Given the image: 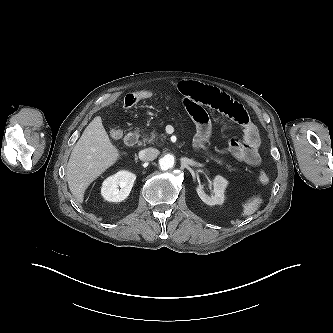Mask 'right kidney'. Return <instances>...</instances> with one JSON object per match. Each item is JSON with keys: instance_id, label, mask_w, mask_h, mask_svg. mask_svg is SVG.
I'll return each mask as SVG.
<instances>
[{"instance_id": "obj_1", "label": "right kidney", "mask_w": 333, "mask_h": 333, "mask_svg": "<svg viewBox=\"0 0 333 333\" xmlns=\"http://www.w3.org/2000/svg\"><path fill=\"white\" fill-rule=\"evenodd\" d=\"M135 179V174L128 171H119L103 182L101 194L107 201L121 202L129 195Z\"/></svg>"}]
</instances>
